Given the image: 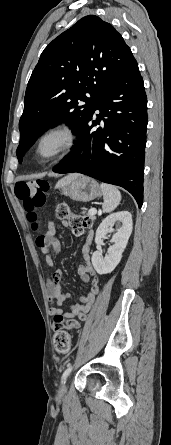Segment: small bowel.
<instances>
[{"label":"small bowel","mask_w":171,"mask_h":445,"mask_svg":"<svg viewBox=\"0 0 171 445\" xmlns=\"http://www.w3.org/2000/svg\"><path fill=\"white\" fill-rule=\"evenodd\" d=\"M57 225L54 222L48 224L47 231L39 235L36 239V245L44 254V264L46 267L54 265V258L49 253L50 249L58 254L61 251V243L55 237ZM84 263L77 266V274L87 285L85 295L81 296L79 301L73 303L70 312L64 313L62 305L70 298V294L62 291V272L57 270L46 283V293L49 302L52 304L49 309L52 326L57 329L65 326L70 330H77L81 327V322L74 320V317L85 319V313L92 307L99 289L98 276L90 260L89 241L83 246ZM61 319L58 323L56 320Z\"/></svg>","instance_id":"obj_1"}]
</instances>
